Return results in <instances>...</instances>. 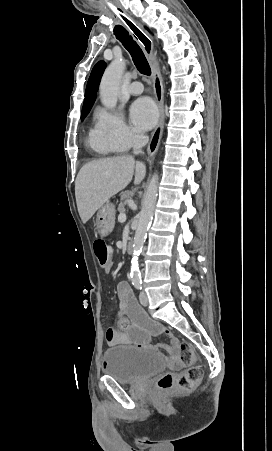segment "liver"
I'll list each match as a JSON object with an SVG mask.
<instances>
[{
  "label": "liver",
  "instance_id": "obj_1",
  "mask_svg": "<svg viewBox=\"0 0 272 451\" xmlns=\"http://www.w3.org/2000/svg\"><path fill=\"white\" fill-rule=\"evenodd\" d=\"M134 170V184H140L146 176V166L144 162H135L132 156L104 158L82 166L75 182V196L83 224H86L109 198L130 184Z\"/></svg>",
  "mask_w": 272,
  "mask_h": 451
}]
</instances>
